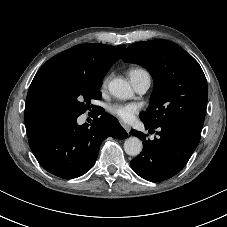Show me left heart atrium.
I'll return each instance as SVG.
<instances>
[{
    "mask_svg": "<svg viewBox=\"0 0 227 227\" xmlns=\"http://www.w3.org/2000/svg\"><path fill=\"white\" fill-rule=\"evenodd\" d=\"M139 109L140 106L136 103H114L109 106L112 115L126 122L131 121Z\"/></svg>",
    "mask_w": 227,
    "mask_h": 227,
    "instance_id": "left-heart-atrium-1",
    "label": "left heart atrium"
}]
</instances>
